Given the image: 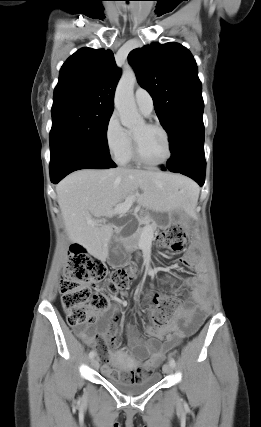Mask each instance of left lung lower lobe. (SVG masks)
<instances>
[{"mask_svg": "<svg viewBox=\"0 0 261 427\" xmlns=\"http://www.w3.org/2000/svg\"><path fill=\"white\" fill-rule=\"evenodd\" d=\"M171 158L166 168L194 179L200 186L205 181L203 120H192L181 125L170 138Z\"/></svg>", "mask_w": 261, "mask_h": 427, "instance_id": "1", "label": "left lung lower lobe"}]
</instances>
